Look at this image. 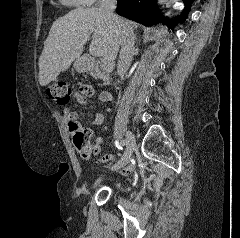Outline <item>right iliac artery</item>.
<instances>
[{"instance_id": "right-iliac-artery-1", "label": "right iliac artery", "mask_w": 240, "mask_h": 238, "mask_svg": "<svg viewBox=\"0 0 240 238\" xmlns=\"http://www.w3.org/2000/svg\"><path fill=\"white\" fill-rule=\"evenodd\" d=\"M120 143H121V145H122L123 147L126 145V144H125V141H123V140H122ZM121 145L119 144V146H121ZM122 146H121V147H122Z\"/></svg>"}]
</instances>
